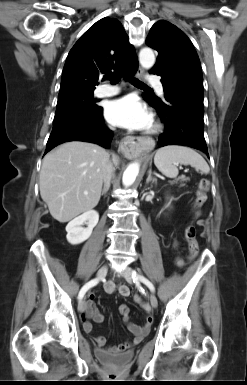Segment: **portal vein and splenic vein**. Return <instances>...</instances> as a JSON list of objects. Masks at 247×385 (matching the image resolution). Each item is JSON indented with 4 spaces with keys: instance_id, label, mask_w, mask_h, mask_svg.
I'll use <instances>...</instances> for the list:
<instances>
[{
    "instance_id": "obj_1",
    "label": "portal vein and splenic vein",
    "mask_w": 247,
    "mask_h": 385,
    "mask_svg": "<svg viewBox=\"0 0 247 385\" xmlns=\"http://www.w3.org/2000/svg\"><path fill=\"white\" fill-rule=\"evenodd\" d=\"M180 169H182V166H179ZM85 194H88V192H84Z\"/></svg>"
}]
</instances>
